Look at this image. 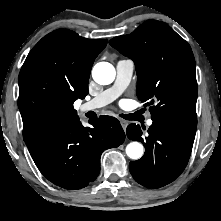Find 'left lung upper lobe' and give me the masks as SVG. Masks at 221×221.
Instances as JSON below:
<instances>
[{
	"label": "left lung upper lobe",
	"mask_w": 221,
	"mask_h": 221,
	"mask_svg": "<svg viewBox=\"0 0 221 221\" xmlns=\"http://www.w3.org/2000/svg\"><path fill=\"white\" fill-rule=\"evenodd\" d=\"M110 45L131 58L137 72V96L151 117L197 126L195 59L189 44L166 23L149 20Z\"/></svg>",
	"instance_id": "5c2ea615"
}]
</instances>
